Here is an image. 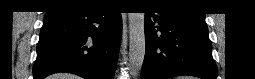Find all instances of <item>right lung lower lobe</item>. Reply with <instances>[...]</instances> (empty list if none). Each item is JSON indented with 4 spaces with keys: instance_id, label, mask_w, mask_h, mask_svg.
<instances>
[{
    "instance_id": "98d812e1",
    "label": "right lung lower lobe",
    "mask_w": 255,
    "mask_h": 79,
    "mask_svg": "<svg viewBox=\"0 0 255 79\" xmlns=\"http://www.w3.org/2000/svg\"><path fill=\"white\" fill-rule=\"evenodd\" d=\"M121 29V13L101 6L47 13L37 44L34 79L56 72L113 79Z\"/></svg>"
}]
</instances>
